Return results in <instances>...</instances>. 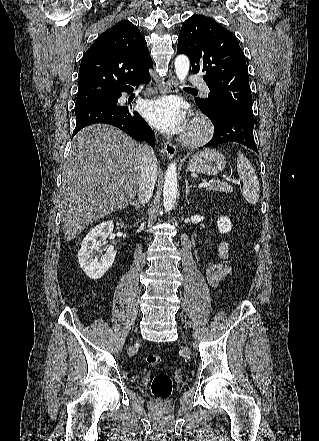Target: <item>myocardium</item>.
<instances>
[{
  "mask_svg": "<svg viewBox=\"0 0 319 441\" xmlns=\"http://www.w3.org/2000/svg\"><path fill=\"white\" fill-rule=\"evenodd\" d=\"M213 134V125L205 117L196 118L189 126L183 141L188 146H198L208 141Z\"/></svg>",
  "mask_w": 319,
  "mask_h": 441,
  "instance_id": "f54148a6",
  "label": "myocardium"
}]
</instances>
